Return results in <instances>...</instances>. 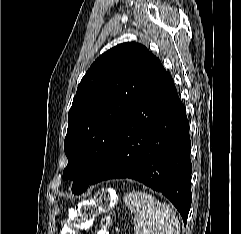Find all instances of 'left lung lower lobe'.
Instances as JSON below:
<instances>
[{"label": "left lung lower lobe", "instance_id": "obj_1", "mask_svg": "<svg viewBox=\"0 0 241 234\" xmlns=\"http://www.w3.org/2000/svg\"><path fill=\"white\" fill-rule=\"evenodd\" d=\"M189 122L174 82L159 66L123 121L89 185L131 178L165 195L184 223L191 206Z\"/></svg>", "mask_w": 241, "mask_h": 234}]
</instances>
